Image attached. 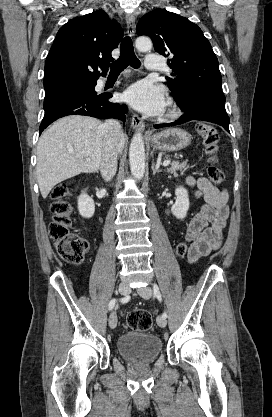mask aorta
Here are the masks:
<instances>
[{
  "mask_svg": "<svg viewBox=\"0 0 272 417\" xmlns=\"http://www.w3.org/2000/svg\"><path fill=\"white\" fill-rule=\"evenodd\" d=\"M139 51H149L152 41L147 37H138L135 42ZM129 162L131 174L136 179H141L145 173V148L143 136L140 132L135 133L129 148Z\"/></svg>",
  "mask_w": 272,
  "mask_h": 417,
  "instance_id": "obj_1",
  "label": "aorta"
}]
</instances>
